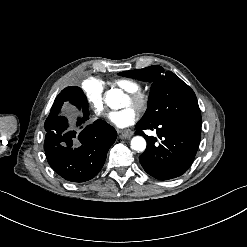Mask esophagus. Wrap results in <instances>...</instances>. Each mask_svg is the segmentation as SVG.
Segmentation results:
<instances>
[{"instance_id": "1", "label": "esophagus", "mask_w": 247, "mask_h": 247, "mask_svg": "<svg viewBox=\"0 0 247 247\" xmlns=\"http://www.w3.org/2000/svg\"><path fill=\"white\" fill-rule=\"evenodd\" d=\"M133 135H134V132L129 129L121 130V136L123 139L130 138Z\"/></svg>"}]
</instances>
